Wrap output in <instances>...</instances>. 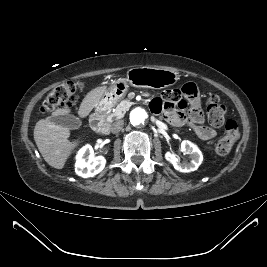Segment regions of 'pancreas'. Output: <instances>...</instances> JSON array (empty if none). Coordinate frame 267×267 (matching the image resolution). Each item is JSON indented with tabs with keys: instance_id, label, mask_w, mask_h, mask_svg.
<instances>
[{
	"instance_id": "cf45deb5",
	"label": "pancreas",
	"mask_w": 267,
	"mask_h": 267,
	"mask_svg": "<svg viewBox=\"0 0 267 267\" xmlns=\"http://www.w3.org/2000/svg\"><path fill=\"white\" fill-rule=\"evenodd\" d=\"M123 103H124V101L122 103L118 104L112 113L106 114V121L108 123H111L114 120L121 119L125 115L127 108L122 105Z\"/></svg>"
}]
</instances>
